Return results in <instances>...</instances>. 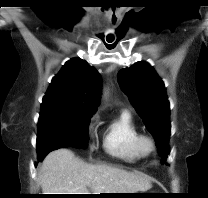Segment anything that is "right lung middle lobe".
Wrapping results in <instances>:
<instances>
[{
  "instance_id": "obj_1",
  "label": "right lung middle lobe",
  "mask_w": 208,
  "mask_h": 198,
  "mask_svg": "<svg viewBox=\"0 0 208 198\" xmlns=\"http://www.w3.org/2000/svg\"><path fill=\"white\" fill-rule=\"evenodd\" d=\"M91 116L90 113L68 109L41 111L37 135L38 159L45 158L61 145L86 148Z\"/></svg>"
}]
</instances>
